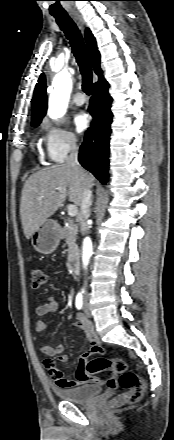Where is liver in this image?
Returning <instances> with one entry per match:
<instances>
[{"mask_svg": "<svg viewBox=\"0 0 174 440\" xmlns=\"http://www.w3.org/2000/svg\"><path fill=\"white\" fill-rule=\"evenodd\" d=\"M93 181V176L84 169L82 173L66 164L32 174L24 184L20 203L25 237L30 239L38 227L57 211L67 196L70 202L80 206L83 187L91 188ZM40 196L43 199L40 200Z\"/></svg>", "mask_w": 174, "mask_h": 440, "instance_id": "1", "label": "liver"}]
</instances>
